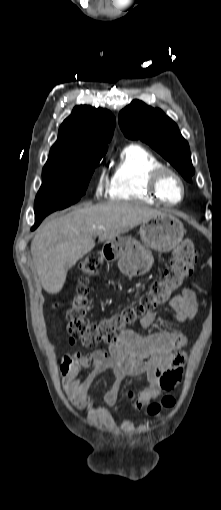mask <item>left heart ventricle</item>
<instances>
[{"label": "left heart ventricle", "mask_w": 221, "mask_h": 510, "mask_svg": "<svg viewBox=\"0 0 221 510\" xmlns=\"http://www.w3.org/2000/svg\"><path fill=\"white\" fill-rule=\"evenodd\" d=\"M159 189L162 197L169 202H177L181 198V187L178 181L170 175L163 178Z\"/></svg>", "instance_id": "obj_1"}]
</instances>
